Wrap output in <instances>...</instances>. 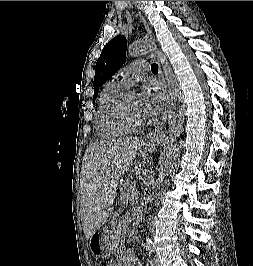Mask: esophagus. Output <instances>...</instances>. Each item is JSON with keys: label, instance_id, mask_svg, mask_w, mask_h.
Masks as SVG:
<instances>
[{"label": "esophagus", "instance_id": "esophagus-1", "mask_svg": "<svg viewBox=\"0 0 253 266\" xmlns=\"http://www.w3.org/2000/svg\"><path fill=\"white\" fill-rule=\"evenodd\" d=\"M141 21L143 22V24H144V26H145V28L147 30L148 35L152 39L151 30H150L146 20L142 16H141ZM153 42H154V39H153ZM151 55H152V57L157 59L159 76H160L161 80L164 82L165 87L167 88V85L165 83L164 74H163V71H162L161 59L157 55L156 52H152ZM167 107H168V104H166V107H165V110L163 112V115H162L160 121L157 123L156 127L152 131H150L149 134L146 136V141H149V142L153 141V140L159 138L160 135L162 134V131H163V128H164V125H165V122H166V117H167Z\"/></svg>", "mask_w": 253, "mask_h": 266}]
</instances>
